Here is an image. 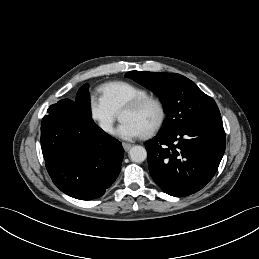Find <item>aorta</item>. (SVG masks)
<instances>
[{"label": "aorta", "instance_id": "1", "mask_svg": "<svg viewBox=\"0 0 259 259\" xmlns=\"http://www.w3.org/2000/svg\"><path fill=\"white\" fill-rule=\"evenodd\" d=\"M130 160L136 163H141L147 158V151L143 146H133L129 151Z\"/></svg>", "mask_w": 259, "mask_h": 259}]
</instances>
